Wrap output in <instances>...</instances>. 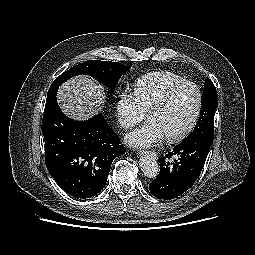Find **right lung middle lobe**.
<instances>
[{
  "label": "right lung middle lobe",
  "mask_w": 255,
  "mask_h": 255,
  "mask_svg": "<svg viewBox=\"0 0 255 255\" xmlns=\"http://www.w3.org/2000/svg\"><path fill=\"white\" fill-rule=\"evenodd\" d=\"M128 70V66L119 62L88 60L70 68L58 76L51 84L48 93L57 90L63 82L71 77L84 74L94 77L97 81L107 86L108 89H110L109 93L112 94L118 80Z\"/></svg>",
  "instance_id": "dd1d6c3e"
}]
</instances>
